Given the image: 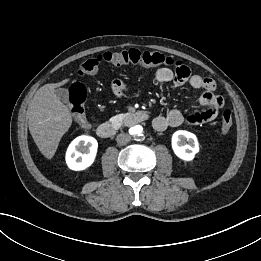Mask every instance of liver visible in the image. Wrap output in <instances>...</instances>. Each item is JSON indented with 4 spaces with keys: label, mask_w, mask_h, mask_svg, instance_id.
Returning a JSON list of instances; mask_svg holds the SVG:
<instances>
[{
    "label": "liver",
    "mask_w": 261,
    "mask_h": 261,
    "mask_svg": "<svg viewBox=\"0 0 261 261\" xmlns=\"http://www.w3.org/2000/svg\"><path fill=\"white\" fill-rule=\"evenodd\" d=\"M69 80L45 84L37 90L28 106L30 134L47 159L54 156L62 136L72 124L68 107L55 93V88L66 84Z\"/></svg>",
    "instance_id": "liver-1"
}]
</instances>
